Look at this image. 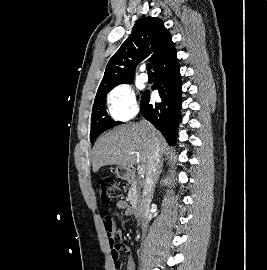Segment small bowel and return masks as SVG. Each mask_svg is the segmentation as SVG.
<instances>
[{
	"mask_svg": "<svg viewBox=\"0 0 267 270\" xmlns=\"http://www.w3.org/2000/svg\"><path fill=\"white\" fill-rule=\"evenodd\" d=\"M116 206L126 216L132 213L130 206L125 201H122V200L118 201ZM104 225H105V229L109 238V243L111 247V257L113 260L114 268H115V259L119 258V253L121 250H123L128 256L127 261H126V270H135L134 260L132 256L130 255L129 249L126 246H123L118 243V241L121 240L122 238L121 231L116 227L111 216H107L105 218Z\"/></svg>",
	"mask_w": 267,
	"mask_h": 270,
	"instance_id": "1",
	"label": "small bowel"
}]
</instances>
